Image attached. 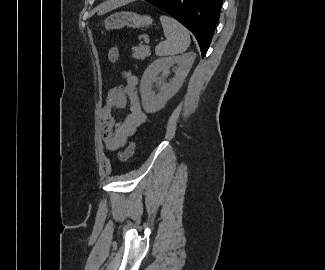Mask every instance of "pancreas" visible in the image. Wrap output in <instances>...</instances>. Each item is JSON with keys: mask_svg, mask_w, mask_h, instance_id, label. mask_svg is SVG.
Here are the masks:
<instances>
[{"mask_svg": "<svg viewBox=\"0 0 325 270\" xmlns=\"http://www.w3.org/2000/svg\"><path fill=\"white\" fill-rule=\"evenodd\" d=\"M133 58H135L136 60H143L146 57L150 56V49L148 46H138V47H133Z\"/></svg>", "mask_w": 325, "mask_h": 270, "instance_id": "obj_1", "label": "pancreas"}]
</instances>
